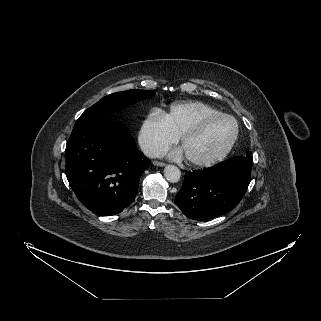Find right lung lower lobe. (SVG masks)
<instances>
[{
	"mask_svg": "<svg viewBox=\"0 0 321 321\" xmlns=\"http://www.w3.org/2000/svg\"><path fill=\"white\" fill-rule=\"evenodd\" d=\"M65 155L72 190L101 216L117 214L135 199L140 177L149 167L129 132L107 116L77 122Z\"/></svg>",
	"mask_w": 321,
	"mask_h": 321,
	"instance_id": "1",
	"label": "right lung lower lobe"
}]
</instances>
